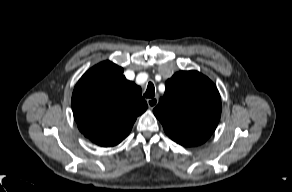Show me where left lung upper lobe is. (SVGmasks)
Masks as SVG:
<instances>
[{"mask_svg":"<svg viewBox=\"0 0 292 192\" xmlns=\"http://www.w3.org/2000/svg\"><path fill=\"white\" fill-rule=\"evenodd\" d=\"M164 96L153 113L166 134L183 146L204 143L221 115V98L215 84L197 71H180L165 83Z\"/></svg>","mask_w":292,"mask_h":192,"instance_id":"obj_1","label":"left lung upper lobe"}]
</instances>
